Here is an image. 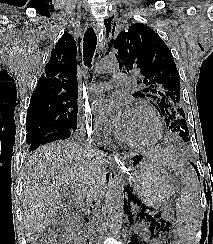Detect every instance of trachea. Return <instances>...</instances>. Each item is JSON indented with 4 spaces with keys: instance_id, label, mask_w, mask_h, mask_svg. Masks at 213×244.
Returning a JSON list of instances; mask_svg holds the SVG:
<instances>
[{
    "instance_id": "1",
    "label": "trachea",
    "mask_w": 213,
    "mask_h": 244,
    "mask_svg": "<svg viewBox=\"0 0 213 244\" xmlns=\"http://www.w3.org/2000/svg\"><path fill=\"white\" fill-rule=\"evenodd\" d=\"M97 45V36L93 28H88L84 34V43H83V57L84 64L87 67H91L92 58Z\"/></svg>"
}]
</instances>
